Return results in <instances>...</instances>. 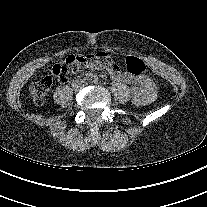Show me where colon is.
Masks as SVG:
<instances>
[{
  "label": "colon",
  "instance_id": "colon-1",
  "mask_svg": "<svg viewBox=\"0 0 207 207\" xmlns=\"http://www.w3.org/2000/svg\"><path fill=\"white\" fill-rule=\"evenodd\" d=\"M113 64V58L105 52L69 55L60 64L54 65L50 74L41 77L31 85L30 96L36 105H42L55 78L72 71H78L85 66L107 68ZM126 69L135 76H143L148 73L147 65L141 59L132 56L126 59Z\"/></svg>",
  "mask_w": 207,
  "mask_h": 207
}]
</instances>
